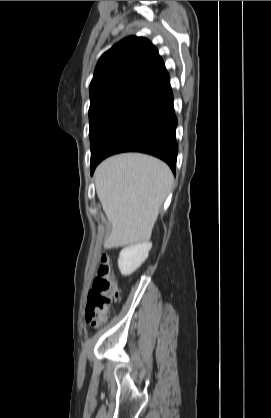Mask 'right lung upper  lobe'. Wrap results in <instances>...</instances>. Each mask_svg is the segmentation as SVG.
Segmentation results:
<instances>
[{"mask_svg": "<svg viewBox=\"0 0 271 418\" xmlns=\"http://www.w3.org/2000/svg\"><path fill=\"white\" fill-rule=\"evenodd\" d=\"M91 104L134 97L152 104L172 93L169 75L155 46L142 37H128L99 59L89 87Z\"/></svg>", "mask_w": 271, "mask_h": 418, "instance_id": "cb5924a9", "label": "right lung upper lobe"}]
</instances>
